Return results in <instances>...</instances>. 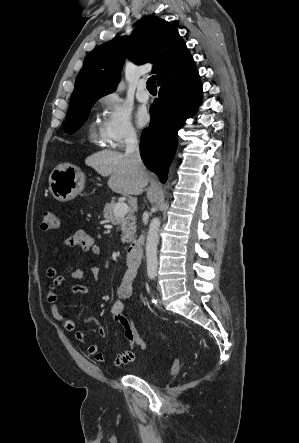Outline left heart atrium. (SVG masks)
<instances>
[{
  "mask_svg": "<svg viewBox=\"0 0 299 443\" xmlns=\"http://www.w3.org/2000/svg\"><path fill=\"white\" fill-rule=\"evenodd\" d=\"M150 116L145 108H139L136 112V122L140 127L145 126L149 122Z\"/></svg>",
  "mask_w": 299,
  "mask_h": 443,
  "instance_id": "39dd6f15",
  "label": "left heart atrium"
}]
</instances>
